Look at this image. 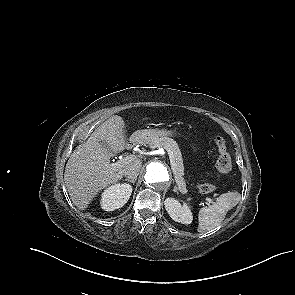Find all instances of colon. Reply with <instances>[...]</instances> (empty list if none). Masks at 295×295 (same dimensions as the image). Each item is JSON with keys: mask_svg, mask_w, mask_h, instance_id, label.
<instances>
[{"mask_svg": "<svg viewBox=\"0 0 295 295\" xmlns=\"http://www.w3.org/2000/svg\"><path fill=\"white\" fill-rule=\"evenodd\" d=\"M215 143L218 149L216 168L222 174L228 173L232 167V160L227 150L226 141L224 138L218 136L215 138ZM216 188L217 185L213 182H204L199 186L200 191L204 194L212 193Z\"/></svg>", "mask_w": 295, "mask_h": 295, "instance_id": "1", "label": "colon"}]
</instances>
